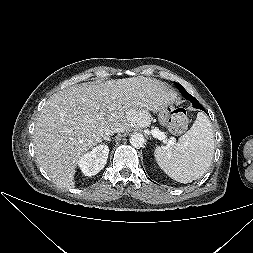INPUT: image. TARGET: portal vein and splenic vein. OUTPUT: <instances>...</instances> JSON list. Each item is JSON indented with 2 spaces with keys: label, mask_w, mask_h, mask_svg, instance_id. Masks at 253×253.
Masks as SVG:
<instances>
[{
  "label": "portal vein and splenic vein",
  "mask_w": 253,
  "mask_h": 253,
  "mask_svg": "<svg viewBox=\"0 0 253 253\" xmlns=\"http://www.w3.org/2000/svg\"><path fill=\"white\" fill-rule=\"evenodd\" d=\"M152 135H153V137H155L159 140H163V141L166 140L165 134L163 132L159 131L158 129H153L152 130Z\"/></svg>",
  "instance_id": "obj_1"
}]
</instances>
